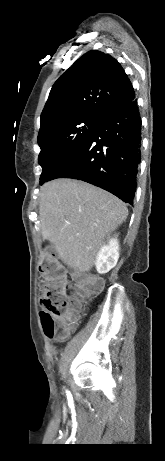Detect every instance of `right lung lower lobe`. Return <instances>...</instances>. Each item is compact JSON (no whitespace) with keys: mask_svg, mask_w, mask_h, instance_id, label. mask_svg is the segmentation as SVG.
Returning a JSON list of instances; mask_svg holds the SVG:
<instances>
[{"mask_svg":"<svg viewBox=\"0 0 165 461\" xmlns=\"http://www.w3.org/2000/svg\"><path fill=\"white\" fill-rule=\"evenodd\" d=\"M140 160L141 118L134 99L101 118L88 139L47 181L82 180L132 204Z\"/></svg>","mask_w":165,"mask_h":461,"instance_id":"98d812e1","label":"right lung lower lobe"}]
</instances>
